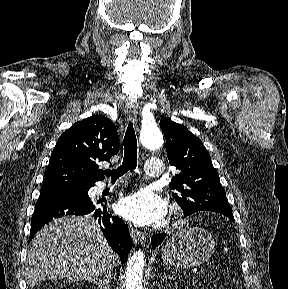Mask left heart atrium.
<instances>
[{
	"label": "left heart atrium",
	"instance_id": "1",
	"mask_svg": "<svg viewBox=\"0 0 288 289\" xmlns=\"http://www.w3.org/2000/svg\"><path fill=\"white\" fill-rule=\"evenodd\" d=\"M117 209L122 216L138 225L159 224L167 213L165 201L146 188L120 199Z\"/></svg>",
	"mask_w": 288,
	"mask_h": 289
}]
</instances>
